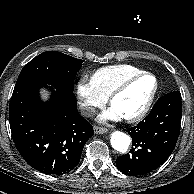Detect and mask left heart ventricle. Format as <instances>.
Segmentation results:
<instances>
[{"label":"left heart ventricle","mask_w":194,"mask_h":194,"mask_svg":"<svg viewBox=\"0 0 194 194\" xmlns=\"http://www.w3.org/2000/svg\"><path fill=\"white\" fill-rule=\"evenodd\" d=\"M155 86V81L150 76L142 77L133 82L112 103V107L122 118L137 114L149 99Z\"/></svg>","instance_id":"obj_1"}]
</instances>
